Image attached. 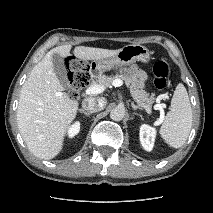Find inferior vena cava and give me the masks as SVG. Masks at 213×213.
Segmentation results:
<instances>
[{
  "instance_id": "inferior-vena-cava-1",
  "label": "inferior vena cava",
  "mask_w": 213,
  "mask_h": 213,
  "mask_svg": "<svg viewBox=\"0 0 213 213\" xmlns=\"http://www.w3.org/2000/svg\"><path fill=\"white\" fill-rule=\"evenodd\" d=\"M107 100L105 98L89 97L83 100L82 107L88 112L94 113L105 108Z\"/></svg>"
}]
</instances>
